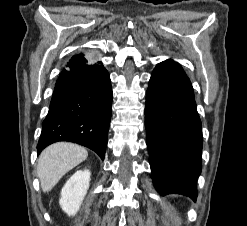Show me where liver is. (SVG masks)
Segmentation results:
<instances>
[{"label": "liver", "instance_id": "6515ba94", "mask_svg": "<svg viewBox=\"0 0 247 226\" xmlns=\"http://www.w3.org/2000/svg\"><path fill=\"white\" fill-rule=\"evenodd\" d=\"M88 157L85 148L68 142L47 147L39 156L37 175L43 192L50 191L71 169Z\"/></svg>", "mask_w": 247, "mask_h": 226}]
</instances>
